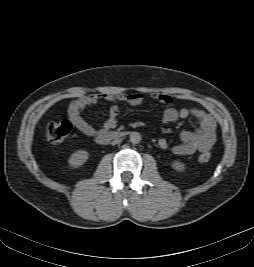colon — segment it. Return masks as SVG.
Segmentation results:
<instances>
[{
    "mask_svg": "<svg viewBox=\"0 0 254 267\" xmlns=\"http://www.w3.org/2000/svg\"><path fill=\"white\" fill-rule=\"evenodd\" d=\"M71 129V123L67 120L50 123L46 127V138L51 143H60L69 135ZM210 159L211 154L209 152H203L199 155L201 163H207Z\"/></svg>",
    "mask_w": 254,
    "mask_h": 267,
    "instance_id": "colon-1",
    "label": "colon"
}]
</instances>
